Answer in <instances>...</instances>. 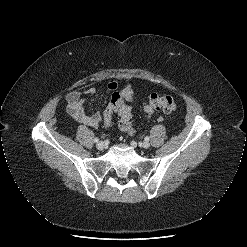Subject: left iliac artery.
Masks as SVG:
<instances>
[{"mask_svg": "<svg viewBox=\"0 0 247 247\" xmlns=\"http://www.w3.org/2000/svg\"><path fill=\"white\" fill-rule=\"evenodd\" d=\"M150 137L149 136H146L145 137V141H149Z\"/></svg>", "mask_w": 247, "mask_h": 247, "instance_id": "1", "label": "left iliac artery"}]
</instances>
